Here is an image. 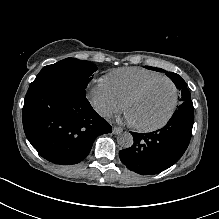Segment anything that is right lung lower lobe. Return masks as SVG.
<instances>
[{
	"label": "right lung lower lobe",
	"instance_id": "right-lung-lower-lobe-1",
	"mask_svg": "<svg viewBox=\"0 0 219 219\" xmlns=\"http://www.w3.org/2000/svg\"><path fill=\"white\" fill-rule=\"evenodd\" d=\"M22 118L31 145L46 160L60 165L81 162L96 137L112 132V127L93 110L85 93L58 83L31 84Z\"/></svg>",
	"mask_w": 219,
	"mask_h": 219
}]
</instances>
